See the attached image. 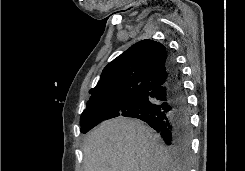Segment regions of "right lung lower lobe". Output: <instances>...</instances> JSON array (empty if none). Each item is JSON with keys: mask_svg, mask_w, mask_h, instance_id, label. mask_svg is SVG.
Segmentation results:
<instances>
[{"mask_svg": "<svg viewBox=\"0 0 245 171\" xmlns=\"http://www.w3.org/2000/svg\"><path fill=\"white\" fill-rule=\"evenodd\" d=\"M167 73L165 84L132 98L110 118L134 117L146 122L160 133L167 145L177 149V156L187 158L191 135L189 108L179 70L170 54Z\"/></svg>", "mask_w": 245, "mask_h": 171, "instance_id": "obj_1", "label": "right lung lower lobe"}]
</instances>
